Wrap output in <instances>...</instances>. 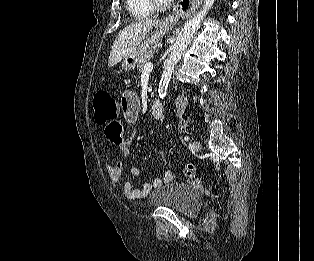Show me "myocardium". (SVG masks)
<instances>
[{
  "label": "myocardium",
  "mask_w": 314,
  "mask_h": 261,
  "mask_svg": "<svg viewBox=\"0 0 314 261\" xmlns=\"http://www.w3.org/2000/svg\"><path fill=\"white\" fill-rule=\"evenodd\" d=\"M149 2L155 10L163 11L167 10L171 6L172 1L149 0Z\"/></svg>",
  "instance_id": "1"
}]
</instances>
